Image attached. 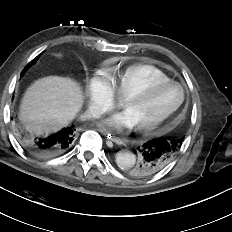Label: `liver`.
Listing matches in <instances>:
<instances>
[{
  "label": "liver",
  "mask_w": 232,
  "mask_h": 232,
  "mask_svg": "<svg viewBox=\"0 0 232 232\" xmlns=\"http://www.w3.org/2000/svg\"><path fill=\"white\" fill-rule=\"evenodd\" d=\"M83 95L69 78L48 76L33 83L24 94L19 118L27 131L37 136L57 132L79 112Z\"/></svg>",
  "instance_id": "1"
}]
</instances>
